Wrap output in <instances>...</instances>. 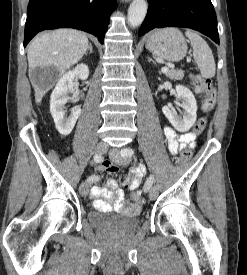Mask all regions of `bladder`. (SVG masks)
Instances as JSON below:
<instances>
[{"label": "bladder", "mask_w": 247, "mask_h": 275, "mask_svg": "<svg viewBox=\"0 0 247 275\" xmlns=\"http://www.w3.org/2000/svg\"><path fill=\"white\" fill-rule=\"evenodd\" d=\"M140 210L130 213L116 214L108 210H92L88 214L90 224L102 228H116L120 230H131L139 222Z\"/></svg>", "instance_id": "1"}]
</instances>
